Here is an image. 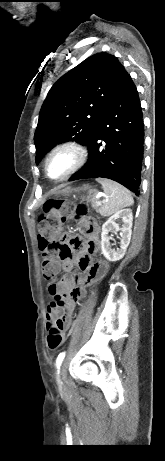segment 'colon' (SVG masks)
Here are the masks:
<instances>
[{"mask_svg": "<svg viewBox=\"0 0 165 461\" xmlns=\"http://www.w3.org/2000/svg\"><path fill=\"white\" fill-rule=\"evenodd\" d=\"M77 209L84 208L78 207ZM77 209L72 202L67 200L51 199L44 203V215L39 219L38 228L39 246L45 252L42 271L43 277L46 280H54L56 276V269L51 262L53 256H59V251H72L75 248V245H66L65 242L55 237L66 217ZM96 264L102 267L104 262L99 261ZM47 328L49 331L48 346L50 349L55 350L64 342L62 318H55V320L47 325Z\"/></svg>", "mask_w": 165, "mask_h": 461, "instance_id": "5ec220e1", "label": "colon"}]
</instances>
